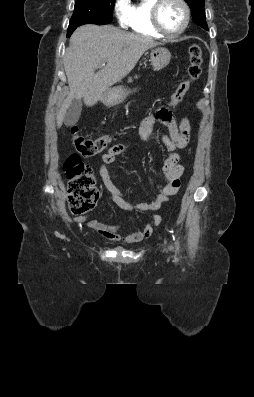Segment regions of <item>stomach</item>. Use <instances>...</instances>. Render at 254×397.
Here are the masks:
<instances>
[{"instance_id":"stomach-1","label":"stomach","mask_w":254,"mask_h":397,"mask_svg":"<svg viewBox=\"0 0 254 397\" xmlns=\"http://www.w3.org/2000/svg\"><path fill=\"white\" fill-rule=\"evenodd\" d=\"M170 59L171 53L166 48L157 47L150 52V62L154 70L165 68L169 64ZM130 93H132L131 89L116 87L104 93L101 101L106 105H116L124 101Z\"/></svg>"}]
</instances>
